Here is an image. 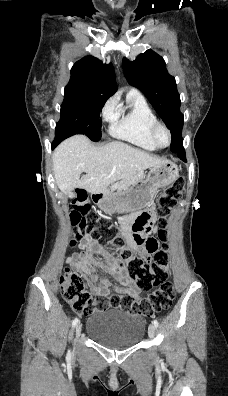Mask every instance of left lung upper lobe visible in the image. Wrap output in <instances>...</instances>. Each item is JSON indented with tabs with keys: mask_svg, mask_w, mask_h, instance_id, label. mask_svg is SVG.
Masks as SVG:
<instances>
[{
	"mask_svg": "<svg viewBox=\"0 0 228 396\" xmlns=\"http://www.w3.org/2000/svg\"><path fill=\"white\" fill-rule=\"evenodd\" d=\"M122 67L128 83L140 89L171 131L172 152L184 160L185 151L181 136L183 114L180 112V95L175 78L169 75L165 61L151 49L134 61L123 59Z\"/></svg>",
	"mask_w": 228,
	"mask_h": 396,
	"instance_id": "obj_1",
	"label": "left lung upper lobe"
}]
</instances>
